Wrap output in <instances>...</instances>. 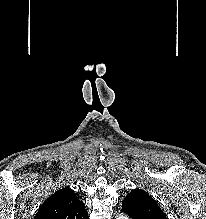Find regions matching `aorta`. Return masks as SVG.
I'll use <instances>...</instances> for the list:
<instances>
[{"instance_id": "aorta-1", "label": "aorta", "mask_w": 206, "mask_h": 219, "mask_svg": "<svg viewBox=\"0 0 206 219\" xmlns=\"http://www.w3.org/2000/svg\"><path fill=\"white\" fill-rule=\"evenodd\" d=\"M116 219H128V217L123 214H120L119 216H117Z\"/></svg>"}]
</instances>
